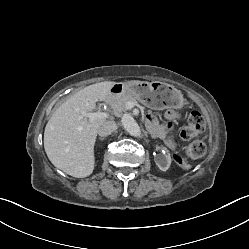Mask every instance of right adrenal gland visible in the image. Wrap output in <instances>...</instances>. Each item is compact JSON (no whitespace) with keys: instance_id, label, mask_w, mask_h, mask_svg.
Masks as SVG:
<instances>
[{"instance_id":"right-adrenal-gland-1","label":"right adrenal gland","mask_w":249,"mask_h":249,"mask_svg":"<svg viewBox=\"0 0 249 249\" xmlns=\"http://www.w3.org/2000/svg\"><path fill=\"white\" fill-rule=\"evenodd\" d=\"M104 139H105V138H99V140H102V141H103Z\"/></svg>"}]
</instances>
